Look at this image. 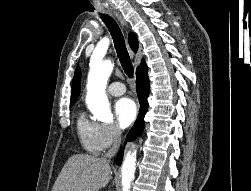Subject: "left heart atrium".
Segmentation results:
<instances>
[{
    "mask_svg": "<svg viewBox=\"0 0 251 191\" xmlns=\"http://www.w3.org/2000/svg\"><path fill=\"white\" fill-rule=\"evenodd\" d=\"M115 122L119 129L130 126L136 118L137 107L129 98L119 99L114 105Z\"/></svg>",
    "mask_w": 251,
    "mask_h": 191,
    "instance_id": "39dd6f15",
    "label": "left heart atrium"
}]
</instances>
